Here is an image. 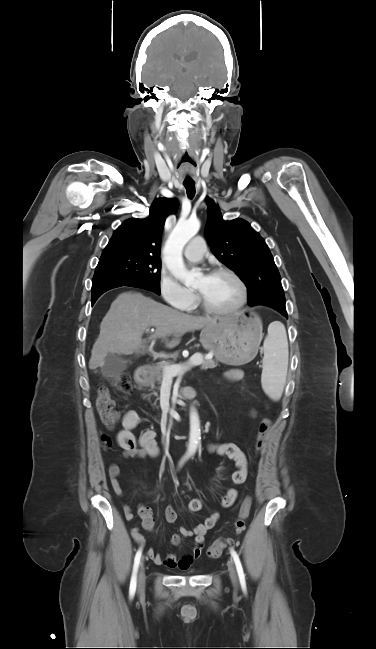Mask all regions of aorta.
<instances>
[{"mask_svg":"<svg viewBox=\"0 0 376 649\" xmlns=\"http://www.w3.org/2000/svg\"><path fill=\"white\" fill-rule=\"evenodd\" d=\"M200 229L198 219L179 220L171 232L165 245V264L171 274L185 284L192 283L198 275L194 270H188L184 264L182 251L188 241ZM201 439L200 421L197 411L190 410V436L188 453L194 454Z\"/></svg>","mask_w":376,"mask_h":649,"instance_id":"aorta-1","label":"aorta"}]
</instances>
